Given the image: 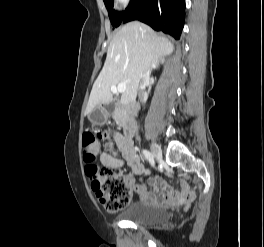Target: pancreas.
<instances>
[{"mask_svg": "<svg viewBox=\"0 0 264 247\" xmlns=\"http://www.w3.org/2000/svg\"><path fill=\"white\" fill-rule=\"evenodd\" d=\"M125 116L126 110L124 107H118L113 113V118L116 122H121Z\"/></svg>", "mask_w": 264, "mask_h": 247, "instance_id": "pancreas-1", "label": "pancreas"}]
</instances>
